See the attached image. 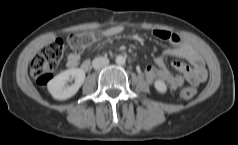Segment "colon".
Listing matches in <instances>:
<instances>
[{"label": "colon", "mask_w": 238, "mask_h": 145, "mask_svg": "<svg viewBox=\"0 0 238 145\" xmlns=\"http://www.w3.org/2000/svg\"><path fill=\"white\" fill-rule=\"evenodd\" d=\"M98 38L95 31H85L72 33L66 39H55L45 45L33 58L30 65V73L39 85H46L52 78L54 71L61 61L66 46L75 52H81L86 47L94 43ZM196 94L193 87H185L180 92L182 99H191Z\"/></svg>", "instance_id": "5ec220e1"}]
</instances>
